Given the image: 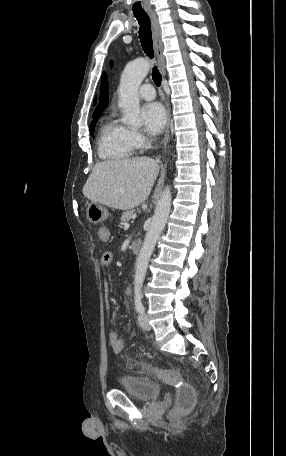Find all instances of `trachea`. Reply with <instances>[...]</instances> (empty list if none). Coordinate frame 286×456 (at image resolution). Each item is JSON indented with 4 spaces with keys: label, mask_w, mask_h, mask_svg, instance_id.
<instances>
[{
    "label": "trachea",
    "mask_w": 286,
    "mask_h": 456,
    "mask_svg": "<svg viewBox=\"0 0 286 456\" xmlns=\"http://www.w3.org/2000/svg\"><path fill=\"white\" fill-rule=\"evenodd\" d=\"M134 16L138 20L139 27V38L144 52L151 58H153V46H152V34L151 24L148 15L145 12L134 13ZM152 79L157 86L161 85V74L155 66L152 71Z\"/></svg>",
    "instance_id": "obj_1"
}]
</instances>
